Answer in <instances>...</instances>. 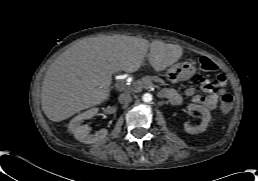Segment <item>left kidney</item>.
I'll use <instances>...</instances> for the list:
<instances>
[{"mask_svg": "<svg viewBox=\"0 0 258 181\" xmlns=\"http://www.w3.org/2000/svg\"><path fill=\"white\" fill-rule=\"evenodd\" d=\"M190 107L192 109L198 111L202 115L201 122H200L199 125H195V126H193L190 123H186L185 124V131L188 134H199V133H202V132L206 131V129L208 127V124L211 120L210 111L206 107H204L202 105H198V104H191Z\"/></svg>", "mask_w": 258, "mask_h": 181, "instance_id": "obj_1", "label": "left kidney"}]
</instances>
